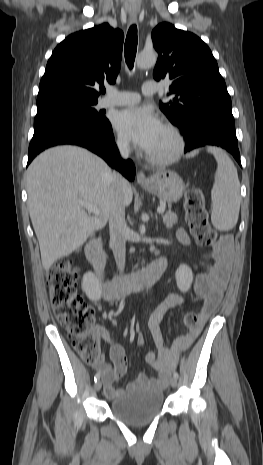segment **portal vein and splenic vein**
<instances>
[{
    "mask_svg": "<svg viewBox=\"0 0 263 465\" xmlns=\"http://www.w3.org/2000/svg\"><path fill=\"white\" fill-rule=\"evenodd\" d=\"M80 205L84 207L88 212L93 213L95 215H100V209L92 204L86 203V202H80ZM158 213L163 214L165 211V208L163 206L158 207L157 209Z\"/></svg>",
    "mask_w": 263,
    "mask_h": 465,
    "instance_id": "1",
    "label": "portal vein and splenic vein"
}]
</instances>
